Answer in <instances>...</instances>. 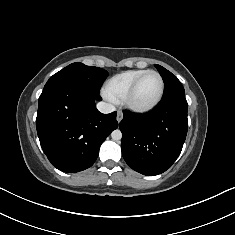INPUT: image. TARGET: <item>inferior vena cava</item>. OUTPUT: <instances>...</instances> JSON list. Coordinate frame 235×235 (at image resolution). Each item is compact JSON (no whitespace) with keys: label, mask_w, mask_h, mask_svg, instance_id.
Segmentation results:
<instances>
[{"label":"inferior vena cava","mask_w":235,"mask_h":235,"mask_svg":"<svg viewBox=\"0 0 235 235\" xmlns=\"http://www.w3.org/2000/svg\"><path fill=\"white\" fill-rule=\"evenodd\" d=\"M97 109L104 114L111 113L115 111V107L112 104L106 103V102H99L97 103Z\"/></svg>","instance_id":"obj_1"}]
</instances>
